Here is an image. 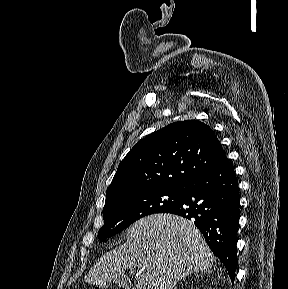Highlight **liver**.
Instances as JSON below:
<instances>
[{
    "instance_id": "1",
    "label": "liver",
    "mask_w": 288,
    "mask_h": 289,
    "mask_svg": "<svg viewBox=\"0 0 288 289\" xmlns=\"http://www.w3.org/2000/svg\"><path fill=\"white\" fill-rule=\"evenodd\" d=\"M215 260L191 221L153 214L129 227L126 242L102 255L85 281L103 286L124 270L141 267L144 273L133 289H173L179 280L207 270Z\"/></svg>"
}]
</instances>
